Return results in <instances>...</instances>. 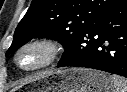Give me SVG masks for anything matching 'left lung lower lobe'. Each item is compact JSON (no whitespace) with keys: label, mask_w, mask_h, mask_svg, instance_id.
Listing matches in <instances>:
<instances>
[{"label":"left lung lower lobe","mask_w":127,"mask_h":92,"mask_svg":"<svg viewBox=\"0 0 127 92\" xmlns=\"http://www.w3.org/2000/svg\"><path fill=\"white\" fill-rule=\"evenodd\" d=\"M57 67H86L127 78V0L82 32Z\"/></svg>","instance_id":"1"}]
</instances>
